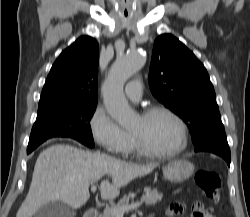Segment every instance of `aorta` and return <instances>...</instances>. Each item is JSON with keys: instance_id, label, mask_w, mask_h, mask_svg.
<instances>
[{"instance_id": "1", "label": "aorta", "mask_w": 250, "mask_h": 217, "mask_svg": "<svg viewBox=\"0 0 250 217\" xmlns=\"http://www.w3.org/2000/svg\"><path fill=\"white\" fill-rule=\"evenodd\" d=\"M145 62L139 51H130L117 57L103 83L104 105L109 115L122 126L130 125L135 113L128 105L123 88L126 81L138 72Z\"/></svg>"}]
</instances>
